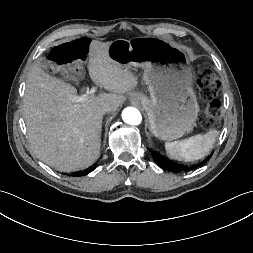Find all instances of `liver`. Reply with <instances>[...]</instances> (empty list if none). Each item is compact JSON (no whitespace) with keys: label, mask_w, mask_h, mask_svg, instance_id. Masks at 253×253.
I'll list each match as a JSON object with an SVG mask.
<instances>
[{"label":"liver","mask_w":253,"mask_h":253,"mask_svg":"<svg viewBox=\"0 0 253 253\" xmlns=\"http://www.w3.org/2000/svg\"><path fill=\"white\" fill-rule=\"evenodd\" d=\"M111 43L93 40L88 53L91 80L109 94L101 93L81 103L77 102V89L45 73L40 62L28 74L23 115L30 146L39 160L59 171L87 168L97 160L102 105L109 103L116 110L124 102L123 94L138 85L128 67L110 58Z\"/></svg>","instance_id":"liver-1"}]
</instances>
